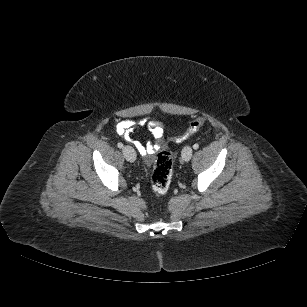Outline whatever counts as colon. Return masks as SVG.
<instances>
[{"label":"colon","instance_id":"colon-1","mask_svg":"<svg viewBox=\"0 0 307 307\" xmlns=\"http://www.w3.org/2000/svg\"><path fill=\"white\" fill-rule=\"evenodd\" d=\"M206 119L199 117L192 121L186 131L176 138V141L181 142L193 134H195L203 125ZM173 174V155L168 150L160 151L154 160L153 172L151 176V184L154 192L158 195L165 194L171 184Z\"/></svg>","mask_w":307,"mask_h":307}]
</instances>
